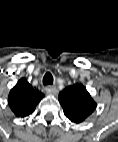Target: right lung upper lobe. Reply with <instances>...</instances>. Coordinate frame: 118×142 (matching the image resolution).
Masks as SVG:
<instances>
[{"label": "right lung upper lobe", "mask_w": 118, "mask_h": 142, "mask_svg": "<svg viewBox=\"0 0 118 142\" xmlns=\"http://www.w3.org/2000/svg\"><path fill=\"white\" fill-rule=\"evenodd\" d=\"M43 97L40 90L29 84L25 78H21L10 91L8 104L16 116L25 117L35 110Z\"/></svg>", "instance_id": "right-lung-upper-lobe-1"}]
</instances>
